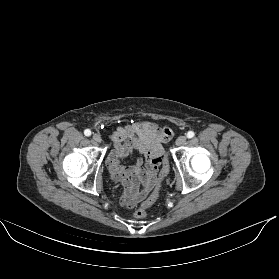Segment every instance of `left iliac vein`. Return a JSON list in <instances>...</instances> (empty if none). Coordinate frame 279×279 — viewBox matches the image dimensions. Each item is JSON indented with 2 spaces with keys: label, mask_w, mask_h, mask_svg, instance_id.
I'll return each instance as SVG.
<instances>
[{
  "label": "left iliac vein",
  "mask_w": 279,
  "mask_h": 279,
  "mask_svg": "<svg viewBox=\"0 0 279 279\" xmlns=\"http://www.w3.org/2000/svg\"><path fill=\"white\" fill-rule=\"evenodd\" d=\"M186 141H187V138L185 136H179L176 140V145L181 146V145L185 144Z\"/></svg>",
  "instance_id": "1"
}]
</instances>
